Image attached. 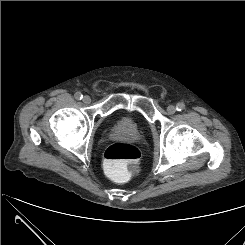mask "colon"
I'll list each match as a JSON object with an SVG mask.
<instances>
[{"label":"colon","mask_w":245,"mask_h":245,"mask_svg":"<svg viewBox=\"0 0 245 245\" xmlns=\"http://www.w3.org/2000/svg\"><path fill=\"white\" fill-rule=\"evenodd\" d=\"M141 158L140 149L128 143H113L104 153V166L108 176L115 182H124L129 167Z\"/></svg>","instance_id":"obj_1"}]
</instances>
